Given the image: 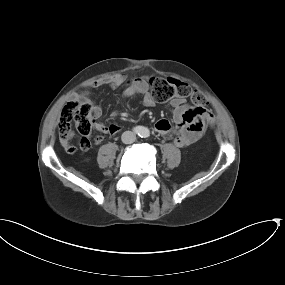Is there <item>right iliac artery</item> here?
I'll return each mask as SVG.
<instances>
[{
  "instance_id": "82829eb1",
  "label": "right iliac artery",
  "mask_w": 285,
  "mask_h": 285,
  "mask_svg": "<svg viewBox=\"0 0 285 285\" xmlns=\"http://www.w3.org/2000/svg\"><path fill=\"white\" fill-rule=\"evenodd\" d=\"M134 132H136V133H142L143 130H142V128H140V127H135V128H134Z\"/></svg>"
}]
</instances>
